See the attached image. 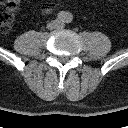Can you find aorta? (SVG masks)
Segmentation results:
<instances>
[{
  "label": "aorta",
  "mask_w": 128,
  "mask_h": 128,
  "mask_svg": "<svg viewBox=\"0 0 128 128\" xmlns=\"http://www.w3.org/2000/svg\"><path fill=\"white\" fill-rule=\"evenodd\" d=\"M71 16H72V15H71L70 12H63L61 17H62L63 20H65V21L68 22V21H70Z\"/></svg>",
  "instance_id": "1"
}]
</instances>
